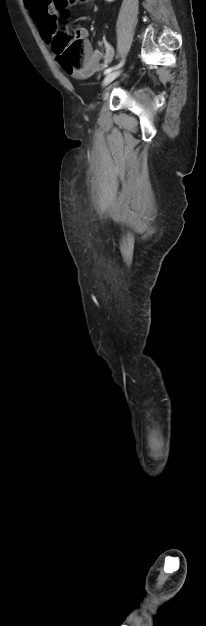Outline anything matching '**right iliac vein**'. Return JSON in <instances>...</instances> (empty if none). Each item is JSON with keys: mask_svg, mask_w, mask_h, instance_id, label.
Listing matches in <instances>:
<instances>
[{"mask_svg": "<svg viewBox=\"0 0 206 626\" xmlns=\"http://www.w3.org/2000/svg\"><path fill=\"white\" fill-rule=\"evenodd\" d=\"M120 73H121L120 71H115L106 75V77L103 80V86L105 87L109 85L112 81H114L120 75Z\"/></svg>", "mask_w": 206, "mask_h": 626, "instance_id": "63e3f726", "label": "right iliac vein"}]
</instances>
